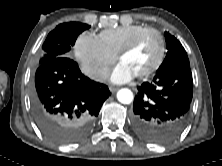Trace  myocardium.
<instances>
[{
    "instance_id": "myocardium-1",
    "label": "myocardium",
    "mask_w": 222,
    "mask_h": 166,
    "mask_svg": "<svg viewBox=\"0 0 222 166\" xmlns=\"http://www.w3.org/2000/svg\"><path fill=\"white\" fill-rule=\"evenodd\" d=\"M148 35H155L159 40V54L156 62L146 71L137 74L136 76L139 78L148 77L154 74L163 64L165 56H166V43L163 35L160 31L154 28H148L138 35H136L128 44H126L117 54V59L121 61V59L132 52L136 47L146 38Z\"/></svg>"
}]
</instances>
